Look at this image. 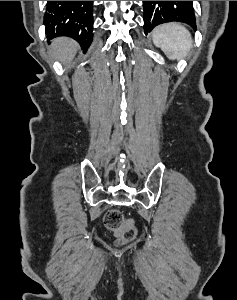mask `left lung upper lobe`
<instances>
[{
  "instance_id": "obj_1",
  "label": "left lung upper lobe",
  "mask_w": 237,
  "mask_h": 300,
  "mask_svg": "<svg viewBox=\"0 0 237 300\" xmlns=\"http://www.w3.org/2000/svg\"><path fill=\"white\" fill-rule=\"evenodd\" d=\"M171 21L184 22L196 27L194 9L172 1H161L156 5L144 6V29L146 34L158 24Z\"/></svg>"
}]
</instances>
